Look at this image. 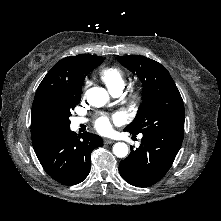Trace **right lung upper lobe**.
<instances>
[{
  "instance_id": "cb5924a9",
  "label": "right lung upper lobe",
  "mask_w": 221,
  "mask_h": 221,
  "mask_svg": "<svg viewBox=\"0 0 221 221\" xmlns=\"http://www.w3.org/2000/svg\"><path fill=\"white\" fill-rule=\"evenodd\" d=\"M100 56L80 54L61 59L46 74L37 88L31 116L32 143L41 142L60 133L51 117L53 103L80 93L88 64Z\"/></svg>"
}]
</instances>
